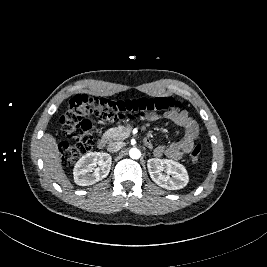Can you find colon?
Segmentation results:
<instances>
[{"label": "colon", "mask_w": 267, "mask_h": 267, "mask_svg": "<svg viewBox=\"0 0 267 267\" xmlns=\"http://www.w3.org/2000/svg\"><path fill=\"white\" fill-rule=\"evenodd\" d=\"M180 101L172 97L138 98L131 100H111L104 97L76 95L68 100L60 119L62 133L69 140L60 145V158L64 166H70L92 147L94 126L91 116L103 120L131 117L151 118L180 109ZM201 145H195L190 158L197 162L201 155Z\"/></svg>", "instance_id": "obj_1"}]
</instances>
